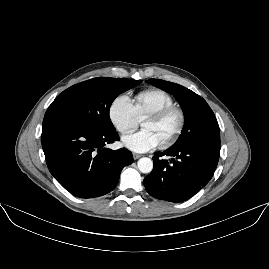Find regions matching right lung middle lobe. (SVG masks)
<instances>
[{
	"mask_svg": "<svg viewBox=\"0 0 269 269\" xmlns=\"http://www.w3.org/2000/svg\"><path fill=\"white\" fill-rule=\"evenodd\" d=\"M141 82L124 78H93L64 90L48 110L67 114L100 131H115L109 119L112 102L119 94Z\"/></svg>",
	"mask_w": 269,
	"mask_h": 269,
	"instance_id": "right-lung-middle-lobe-1",
	"label": "right lung middle lobe"
}]
</instances>
